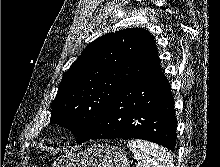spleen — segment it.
<instances>
[{
    "mask_svg": "<svg viewBox=\"0 0 220 167\" xmlns=\"http://www.w3.org/2000/svg\"><path fill=\"white\" fill-rule=\"evenodd\" d=\"M127 146L139 161L138 167H174L171 154L157 144L136 139Z\"/></svg>",
    "mask_w": 220,
    "mask_h": 167,
    "instance_id": "1",
    "label": "spleen"
}]
</instances>
